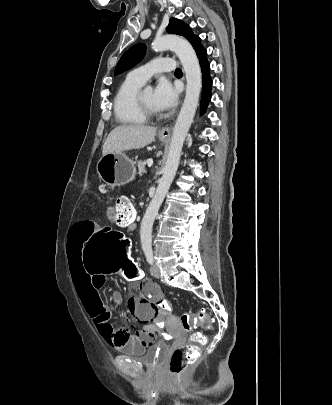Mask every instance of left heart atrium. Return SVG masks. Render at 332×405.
<instances>
[{
	"mask_svg": "<svg viewBox=\"0 0 332 405\" xmlns=\"http://www.w3.org/2000/svg\"><path fill=\"white\" fill-rule=\"evenodd\" d=\"M154 105L158 111H166L172 109L178 99V91L166 79H160L153 91Z\"/></svg>",
	"mask_w": 332,
	"mask_h": 405,
	"instance_id": "39dd6f15",
	"label": "left heart atrium"
}]
</instances>
